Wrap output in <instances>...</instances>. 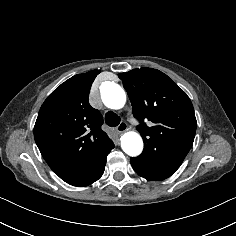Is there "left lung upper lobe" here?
Returning a JSON list of instances; mask_svg holds the SVG:
<instances>
[{"label":"left lung upper lobe","instance_id":"obj_1","mask_svg":"<svg viewBox=\"0 0 236 236\" xmlns=\"http://www.w3.org/2000/svg\"><path fill=\"white\" fill-rule=\"evenodd\" d=\"M144 141L141 156L182 163L192 147L197 122L186 93L166 74L153 68L119 74ZM153 125L147 126L146 122Z\"/></svg>","mask_w":236,"mask_h":236}]
</instances>
